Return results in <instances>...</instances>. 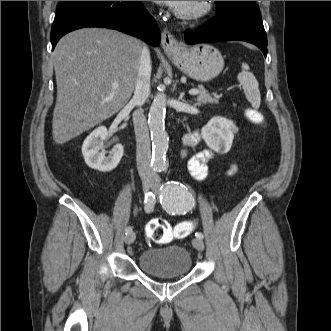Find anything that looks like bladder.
I'll list each match as a JSON object with an SVG mask.
<instances>
[{"instance_id":"bladder-1","label":"bladder","mask_w":331,"mask_h":331,"mask_svg":"<svg viewBox=\"0 0 331 331\" xmlns=\"http://www.w3.org/2000/svg\"><path fill=\"white\" fill-rule=\"evenodd\" d=\"M140 269L152 278H181L190 273L192 257L180 244L144 249L138 256Z\"/></svg>"}]
</instances>
